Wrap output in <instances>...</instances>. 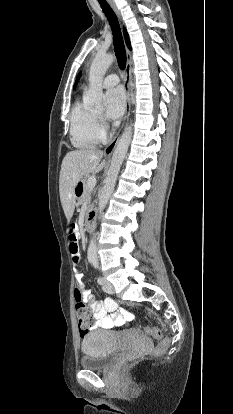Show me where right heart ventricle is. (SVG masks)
<instances>
[{"instance_id":"obj_1","label":"right heart ventricle","mask_w":233,"mask_h":414,"mask_svg":"<svg viewBox=\"0 0 233 414\" xmlns=\"http://www.w3.org/2000/svg\"><path fill=\"white\" fill-rule=\"evenodd\" d=\"M104 138L96 115L80 101H76L70 113V139L79 149L96 147Z\"/></svg>"}]
</instances>
